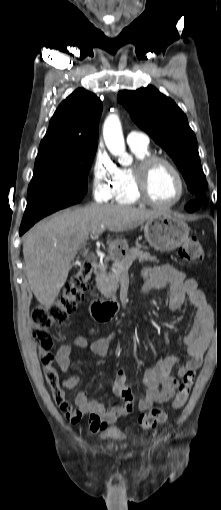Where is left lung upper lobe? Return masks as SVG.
<instances>
[{"instance_id":"1","label":"left lung upper lobe","mask_w":221,"mask_h":510,"mask_svg":"<svg viewBox=\"0 0 221 510\" xmlns=\"http://www.w3.org/2000/svg\"><path fill=\"white\" fill-rule=\"evenodd\" d=\"M118 101L128 110L134 122L170 155L188 189L196 194V202L201 204L208 184L201 167L195 134L183 111L153 86L120 91Z\"/></svg>"}]
</instances>
